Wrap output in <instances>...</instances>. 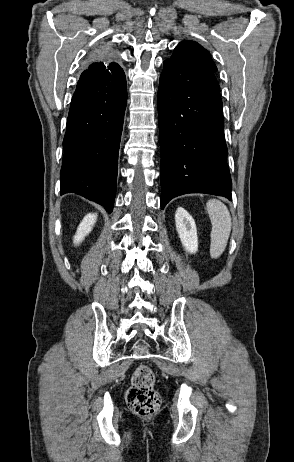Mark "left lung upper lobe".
Segmentation results:
<instances>
[{
  "label": "left lung upper lobe",
  "instance_id": "5c2ea615",
  "mask_svg": "<svg viewBox=\"0 0 294 462\" xmlns=\"http://www.w3.org/2000/svg\"><path fill=\"white\" fill-rule=\"evenodd\" d=\"M170 60L182 62L209 73H214L217 70L209 52L194 41L181 42L175 48Z\"/></svg>",
  "mask_w": 294,
  "mask_h": 462
}]
</instances>
